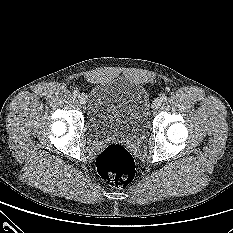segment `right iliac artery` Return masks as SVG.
Instances as JSON below:
<instances>
[{"instance_id":"right-iliac-artery-1","label":"right iliac artery","mask_w":233,"mask_h":233,"mask_svg":"<svg viewBox=\"0 0 233 233\" xmlns=\"http://www.w3.org/2000/svg\"><path fill=\"white\" fill-rule=\"evenodd\" d=\"M73 95H74L75 97H77V96L79 95V92H78L77 90H74V91H73Z\"/></svg>"}]
</instances>
